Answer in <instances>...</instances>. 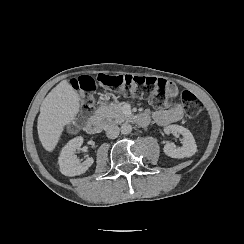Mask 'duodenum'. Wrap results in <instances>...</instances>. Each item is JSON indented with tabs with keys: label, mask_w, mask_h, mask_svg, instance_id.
<instances>
[{
	"label": "duodenum",
	"mask_w": 244,
	"mask_h": 244,
	"mask_svg": "<svg viewBox=\"0 0 244 244\" xmlns=\"http://www.w3.org/2000/svg\"><path fill=\"white\" fill-rule=\"evenodd\" d=\"M99 109H102V102L99 103ZM137 121L141 125H145L148 122V117L145 114L137 116ZM103 120L101 117H92L89 118L85 124V129L90 134H96L99 132L102 126Z\"/></svg>",
	"instance_id": "obj_1"
}]
</instances>
